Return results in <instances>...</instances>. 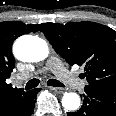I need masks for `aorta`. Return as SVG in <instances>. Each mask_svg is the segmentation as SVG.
Instances as JSON below:
<instances>
[{"mask_svg": "<svg viewBox=\"0 0 116 116\" xmlns=\"http://www.w3.org/2000/svg\"><path fill=\"white\" fill-rule=\"evenodd\" d=\"M16 58L24 62H38L49 54L47 42L37 36L24 35L19 37L13 45ZM62 106L68 111H75L80 107V97L77 93H65Z\"/></svg>", "mask_w": 116, "mask_h": 116, "instance_id": "aorta-1", "label": "aorta"}]
</instances>
